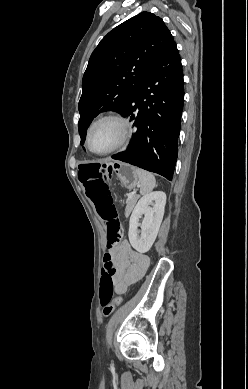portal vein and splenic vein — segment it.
<instances>
[{
	"label": "portal vein and splenic vein",
	"mask_w": 248,
	"mask_h": 389,
	"mask_svg": "<svg viewBox=\"0 0 248 389\" xmlns=\"http://www.w3.org/2000/svg\"><path fill=\"white\" fill-rule=\"evenodd\" d=\"M133 197V193H129L128 194V198L130 199V198H132Z\"/></svg>",
	"instance_id": "18ae733b"
}]
</instances>
